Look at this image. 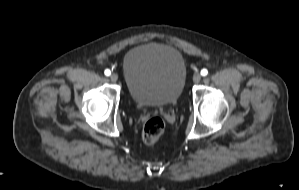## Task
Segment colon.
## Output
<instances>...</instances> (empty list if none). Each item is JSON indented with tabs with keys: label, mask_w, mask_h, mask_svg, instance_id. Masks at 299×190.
I'll return each instance as SVG.
<instances>
[{
	"label": "colon",
	"mask_w": 299,
	"mask_h": 190,
	"mask_svg": "<svg viewBox=\"0 0 299 190\" xmlns=\"http://www.w3.org/2000/svg\"><path fill=\"white\" fill-rule=\"evenodd\" d=\"M166 124L162 118L154 117L148 120L142 130V137L145 143H155L164 133Z\"/></svg>",
	"instance_id": "5ec220e1"
}]
</instances>
